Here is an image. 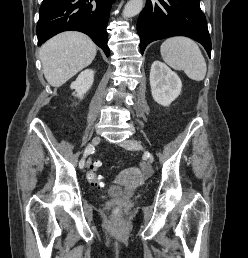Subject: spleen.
Returning <instances> with one entry per match:
<instances>
[{"instance_id":"obj_1","label":"spleen","mask_w":248,"mask_h":258,"mask_svg":"<svg viewBox=\"0 0 248 258\" xmlns=\"http://www.w3.org/2000/svg\"><path fill=\"white\" fill-rule=\"evenodd\" d=\"M160 52L163 60L175 70H183L194 81H202L207 72L206 61L195 41L187 37L166 39Z\"/></svg>"}]
</instances>
